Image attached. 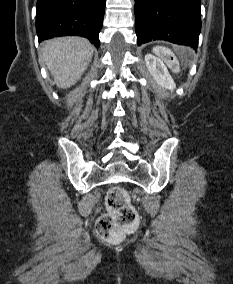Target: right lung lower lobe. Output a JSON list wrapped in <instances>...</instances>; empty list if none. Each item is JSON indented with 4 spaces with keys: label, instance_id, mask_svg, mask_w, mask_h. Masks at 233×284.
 Instances as JSON below:
<instances>
[{
    "label": "right lung lower lobe",
    "instance_id": "1",
    "mask_svg": "<svg viewBox=\"0 0 233 284\" xmlns=\"http://www.w3.org/2000/svg\"><path fill=\"white\" fill-rule=\"evenodd\" d=\"M106 0H37L39 42L55 36H82L99 47Z\"/></svg>",
    "mask_w": 233,
    "mask_h": 284
}]
</instances>
